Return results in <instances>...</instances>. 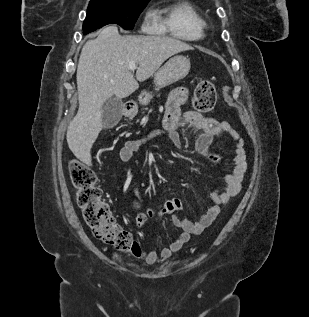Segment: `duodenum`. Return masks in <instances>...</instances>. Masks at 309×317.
I'll return each instance as SVG.
<instances>
[{
    "instance_id": "duodenum-1",
    "label": "duodenum",
    "mask_w": 309,
    "mask_h": 317,
    "mask_svg": "<svg viewBox=\"0 0 309 317\" xmlns=\"http://www.w3.org/2000/svg\"><path fill=\"white\" fill-rule=\"evenodd\" d=\"M135 106L131 103L127 104L124 108V115L130 117L134 114Z\"/></svg>"
}]
</instances>
